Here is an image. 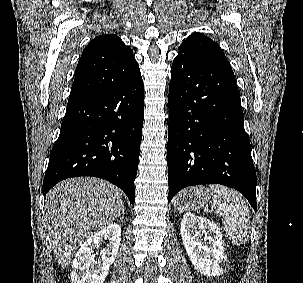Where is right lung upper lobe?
I'll use <instances>...</instances> for the list:
<instances>
[{"instance_id": "cb5924a9", "label": "right lung upper lobe", "mask_w": 303, "mask_h": 283, "mask_svg": "<svg viewBox=\"0 0 303 283\" xmlns=\"http://www.w3.org/2000/svg\"><path fill=\"white\" fill-rule=\"evenodd\" d=\"M140 76L130 47L116 35H100L90 41L78 61L68 104L119 89Z\"/></svg>"}]
</instances>
